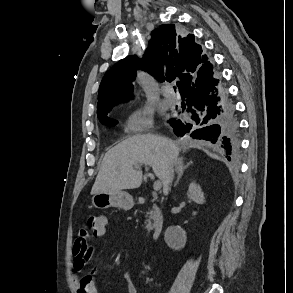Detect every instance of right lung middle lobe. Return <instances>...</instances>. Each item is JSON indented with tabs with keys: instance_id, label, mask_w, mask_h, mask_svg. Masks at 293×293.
I'll list each match as a JSON object with an SVG mask.
<instances>
[{
	"instance_id": "obj_1",
	"label": "right lung middle lobe",
	"mask_w": 293,
	"mask_h": 293,
	"mask_svg": "<svg viewBox=\"0 0 293 293\" xmlns=\"http://www.w3.org/2000/svg\"><path fill=\"white\" fill-rule=\"evenodd\" d=\"M100 122L103 123L104 125H108V126H112V125H116L118 122L114 119H111L107 116V114L103 115V116H99L98 117Z\"/></svg>"
}]
</instances>
